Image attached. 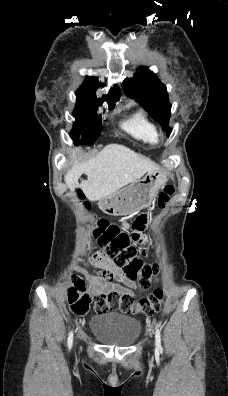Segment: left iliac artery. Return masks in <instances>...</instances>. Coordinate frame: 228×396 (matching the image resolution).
<instances>
[{"label": "left iliac artery", "instance_id": "1", "mask_svg": "<svg viewBox=\"0 0 228 396\" xmlns=\"http://www.w3.org/2000/svg\"><path fill=\"white\" fill-rule=\"evenodd\" d=\"M155 338H156V350L162 352V346H161V334L160 330L157 328L155 332Z\"/></svg>", "mask_w": 228, "mask_h": 396}]
</instances>
